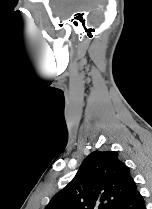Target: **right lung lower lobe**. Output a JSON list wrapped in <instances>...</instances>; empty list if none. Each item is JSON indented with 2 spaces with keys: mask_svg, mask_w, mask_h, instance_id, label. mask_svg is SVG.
<instances>
[{
  "mask_svg": "<svg viewBox=\"0 0 152 209\" xmlns=\"http://www.w3.org/2000/svg\"><path fill=\"white\" fill-rule=\"evenodd\" d=\"M115 209H146L145 202L137 188L131 195Z\"/></svg>",
  "mask_w": 152,
  "mask_h": 209,
  "instance_id": "1",
  "label": "right lung lower lobe"
}]
</instances>
